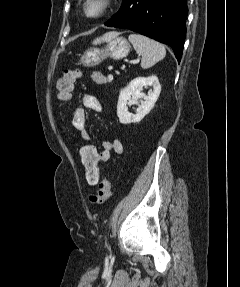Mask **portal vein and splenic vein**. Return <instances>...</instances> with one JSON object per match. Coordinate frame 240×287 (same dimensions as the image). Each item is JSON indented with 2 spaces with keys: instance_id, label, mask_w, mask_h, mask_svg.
<instances>
[{
  "instance_id": "18ae733b",
  "label": "portal vein and splenic vein",
  "mask_w": 240,
  "mask_h": 287,
  "mask_svg": "<svg viewBox=\"0 0 240 287\" xmlns=\"http://www.w3.org/2000/svg\"><path fill=\"white\" fill-rule=\"evenodd\" d=\"M137 61H139V59H137ZM108 78H109V80H112V79H113L112 74H109V75H108Z\"/></svg>"
}]
</instances>
